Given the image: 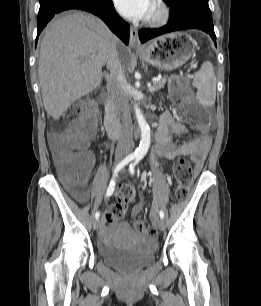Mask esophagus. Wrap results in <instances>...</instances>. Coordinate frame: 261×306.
Returning a JSON list of instances; mask_svg holds the SVG:
<instances>
[{
    "label": "esophagus",
    "instance_id": "esophagus-1",
    "mask_svg": "<svg viewBox=\"0 0 261 306\" xmlns=\"http://www.w3.org/2000/svg\"><path fill=\"white\" fill-rule=\"evenodd\" d=\"M129 45L132 49L137 50L140 49L139 41H138V31L135 27H130V41Z\"/></svg>",
    "mask_w": 261,
    "mask_h": 306
}]
</instances>
